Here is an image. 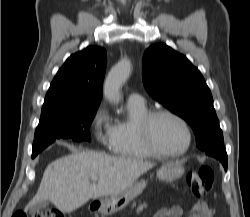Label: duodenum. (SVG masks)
<instances>
[{
	"label": "duodenum",
	"instance_id": "duodenum-1",
	"mask_svg": "<svg viewBox=\"0 0 250 217\" xmlns=\"http://www.w3.org/2000/svg\"><path fill=\"white\" fill-rule=\"evenodd\" d=\"M98 208H99V205H94V206H93V209H94V210H97Z\"/></svg>",
	"mask_w": 250,
	"mask_h": 217
}]
</instances>
